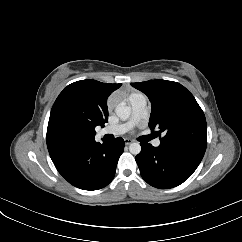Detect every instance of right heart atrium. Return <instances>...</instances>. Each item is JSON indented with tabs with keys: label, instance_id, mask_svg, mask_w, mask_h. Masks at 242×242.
<instances>
[{
	"label": "right heart atrium",
	"instance_id": "obj_1",
	"mask_svg": "<svg viewBox=\"0 0 242 242\" xmlns=\"http://www.w3.org/2000/svg\"><path fill=\"white\" fill-rule=\"evenodd\" d=\"M111 105H112V103L110 102V103H109V107H111Z\"/></svg>",
	"mask_w": 242,
	"mask_h": 242
}]
</instances>
